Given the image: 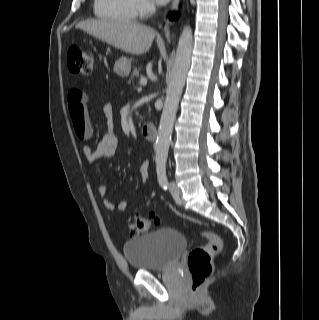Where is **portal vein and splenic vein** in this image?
<instances>
[{
    "label": "portal vein and splenic vein",
    "instance_id": "1",
    "mask_svg": "<svg viewBox=\"0 0 319 320\" xmlns=\"http://www.w3.org/2000/svg\"><path fill=\"white\" fill-rule=\"evenodd\" d=\"M140 84H141V85H146V84H147V79H146V77H141Z\"/></svg>",
    "mask_w": 319,
    "mask_h": 320
}]
</instances>
